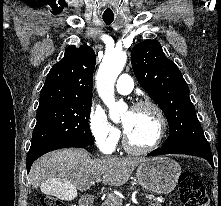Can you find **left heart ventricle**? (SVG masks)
I'll list each match as a JSON object with an SVG mask.
<instances>
[{
    "mask_svg": "<svg viewBox=\"0 0 221 206\" xmlns=\"http://www.w3.org/2000/svg\"><path fill=\"white\" fill-rule=\"evenodd\" d=\"M122 122L130 142L136 147L149 145L157 136L158 119L149 108L125 112Z\"/></svg>",
    "mask_w": 221,
    "mask_h": 206,
    "instance_id": "obj_1",
    "label": "left heart ventricle"
}]
</instances>
